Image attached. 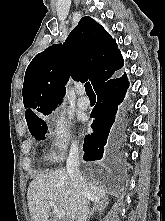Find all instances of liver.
Masks as SVG:
<instances>
[{
    "label": "liver",
    "mask_w": 165,
    "mask_h": 221,
    "mask_svg": "<svg viewBox=\"0 0 165 221\" xmlns=\"http://www.w3.org/2000/svg\"><path fill=\"white\" fill-rule=\"evenodd\" d=\"M84 181L92 194L89 202H97L106 198L104 188ZM50 200L57 208L64 210L66 221H76L78 195L65 170L59 169L39 174L30 183L27 201L32 221H50V205L48 203Z\"/></svg>",
    "instance_id": "1"
}]
</instances>
